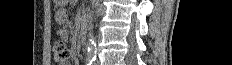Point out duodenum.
Masks as SVG:
<instances>
[{
	"mask_svg": "<svg viewBox=\"0 0 232 65\" xmlns=\"http://www.w3.org/2000/svg\"><path fill=\"white\" fill-rule=\"evenodd\" d=\"M86 37H87V29L85 25H82L80 30V39L82 43L86 42Z\"/></svg>",
	"mask_w": 232,
	"mask_h": 65,
	"instance_id": "obj_1",
	"label": "duodenum"
}]
</instances>
